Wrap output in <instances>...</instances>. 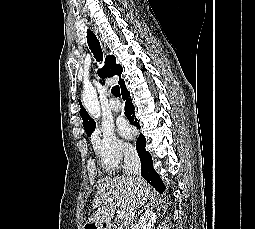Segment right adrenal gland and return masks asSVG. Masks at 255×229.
Here are the masks:
<instances>
[{"label": "right adrenal gland", "instance_id": "obj_1", "mask_svg": "<svg viewBox=\"0 0 255 229\" xmlns=\"http://www.w3.org/2000/svg\"><path fill=\"white\" fill-rule=\"evenodd\" d=\"M158 201L155 197H151L150 203L146 204L139 212L138 215H140L144 210L149 209L150 206L157 205Z\"/></svg>", "mask_w": 255, "mask_h": 229}]
</instances>
